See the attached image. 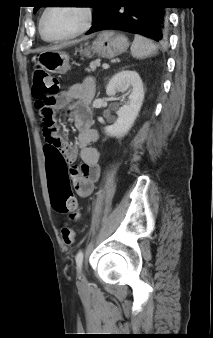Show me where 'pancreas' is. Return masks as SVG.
I'll return each instance as SVG.
<instances>
[{
  "label": "pancreas",
  "mask_w": 213,
  "mask_h": 338,
  "mask_svg": "<svg viewBox=\"0 0 213 338\" xmlns=\"http://www.w3.org/2000/svg\"><path fill=\"white\" fill-rule=\"evenodd\" d=\"M96 67H97V63H96V62H92V63L90 64V68H87L86 71H87V72L94 71V70L96 69Z\"/></svg>",
  "instance_id": "obj_1"
}]
</instances>
